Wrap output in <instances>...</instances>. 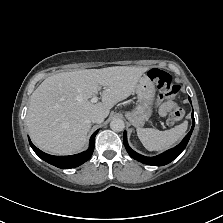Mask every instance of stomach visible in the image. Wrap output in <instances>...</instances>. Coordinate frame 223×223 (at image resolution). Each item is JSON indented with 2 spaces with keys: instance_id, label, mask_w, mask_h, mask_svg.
I'll list each match as a JSON object with an SVG mask.
<instances>
[{
  "instance_id": "0dacf381",
  "label": "stomach",
  "mask_w": 223,
  "mask_h": 223,
  "mask_svg": "<svg viewBox=\"0 0 223 223\" xmlns=\"http://www.w3.org/2000/svg\"><path fill=\"white\" fill-rule=\"evenodd\" d=\"M154 91L155 87L151 78H146L145 76H141L138 79L134 88V92L138 96V101L141 102H150L153 98ZM148 116L149 110L146 103H144L141 110H135L129 115V120L133 126L140 127L145 123Z\"/></svg>"
}]
</instances>
